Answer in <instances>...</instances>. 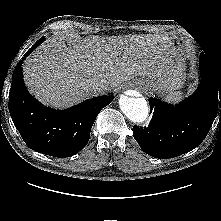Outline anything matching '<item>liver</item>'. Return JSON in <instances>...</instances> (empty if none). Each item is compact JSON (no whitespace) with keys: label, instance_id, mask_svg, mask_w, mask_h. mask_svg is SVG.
I'll return each instance as SVG.
<instances>
[{"label":"liver","instance_id":"6515ba94","mask_svg":"<svg viewBox=\"0 0 221 221\" xmlns=\"http://www.w3.org/2000/svg\"><path fill=\"white\" fill-rule=\"evenodd\" d=\"M174 54L172 38L158 34L51 38L25 61L24 81L44 105L67 108L96 95L100 80L114 89L136 76L157 78Z\"/></svg>","mask_w":221,"mask_h":221}]
</instances>
